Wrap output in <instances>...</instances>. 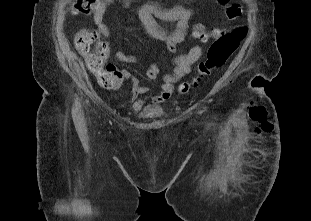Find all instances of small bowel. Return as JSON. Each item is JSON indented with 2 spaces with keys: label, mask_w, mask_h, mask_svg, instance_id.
Masks as SVG:
<instances>
[{
  "label": "small bowel",
  "mask_w": 311,
  "mask_h": 221,
  "mask_svg": "<svg viewBox=\"0 0 311 221\" xmlns=\"http://www.w3.org/2000/svg\"><path fill=\"white\" fill-rule=\"evenodd\" d=\"M110 2L111 0H99L93 11L94 22L104 37L110 36V31L103 21V14ZM137 13L147 35L155 40L165 42L170 53H174L177 44L184 40L189 20L193 14L190 9L183 5L162 7L153 2L141 4ZM156 18L175 21V29L172 32H167L159 26ZM202 52V47L197 45L192 47L188 53L176 56L174 58L175 67L173 72L163 76H160V64L152 63L146 70V77L151 81L161 79L162 83L158 92H154L140 83L131 70L127 68L117 69L120 84L124 81L131 82V108L133 112L142 118L156 115L161 105L170 99L177 80L189 72L191 65L200 59ZM115 57L118 61L126 64H134L137 61L136 57L127 55L118 49L115 50Z\"/></svg>",
  "instance_id": "small-bowel-1"
}]
</instances>
